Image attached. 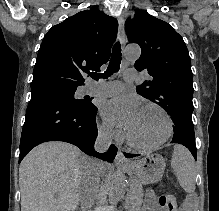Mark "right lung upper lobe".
<instances>
[{
  "label": "right lung upper lobe",
  "mask_w": 219,
  "mask_h": 211,
  "mask_svg": "<svg viewBox=\"0 0 219 211\" xmlns=\"http://www.w3.org/2000/svg\"><path fill=\"white\" fill-rule=\"evenodd\" d=\"M117 29V20L96 8L53 26L38 51L31 89L84 85L85 73L108 61Z\"/></svg>",
  "instance_id": "obj_1"
}]
</instances>
